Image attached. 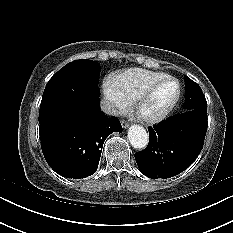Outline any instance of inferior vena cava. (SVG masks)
I'll list each match as a JSON object with an SVG mask.
<instances>
[{
    "instance_id": "602c4592",
    "label": "inferior vena cava",
    "mask_w": 233,
    "mask_h": 233,
    "mask_svg": "<svg viewBox=\"0 0 233 233\" xmlns=\"http://www.w3.org/2000/svg\"><path fill=\"white\" fill-rule=\"evenodd\" d=\"M101 110L108 115H113L116 113L114 105L105 99L101 101Z\"/></svg>"
}]
</instances>
